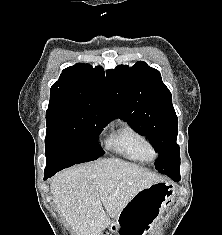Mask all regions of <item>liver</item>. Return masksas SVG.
Masks as SVG:
<instances>
[{"instance_id":"liver-1","label":"liver","mask_w":222,"mask_h":235,"mask_svg":"<svg viewBox=\"0 0 222 235\" xmlns=\"http://www.w3.org/2000/svg\"><path fill=\"white\" fill-rule=\"evenodd\" d=\"M162 181L146 168L108 158L57 173L50 189L76 235H100L135 195Z\"/></svg>"}]
</instances>
